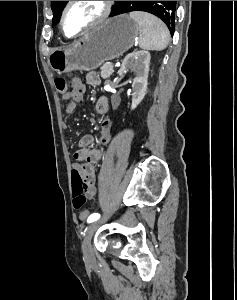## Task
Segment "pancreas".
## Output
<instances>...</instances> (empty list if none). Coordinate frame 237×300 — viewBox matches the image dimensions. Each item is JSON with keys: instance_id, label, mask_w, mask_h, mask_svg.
<instances>
[{"instance_id": "obj_1", "label": "pancreas", "mask_w": 237, "mask_h": 300, "mask_svg": "<svg viewBox=\"0 0 237 300\" xmlns=\"http://www.w3.org/2000/svg\"><path fill=\"white\" fill-rule=\"evenodd\" d=\"M109 65V63H104V65L100 67L101 77H103V79H107V77H110V75L113 73V68H109ZM111 65H113V63Z\"/></svg>"}]
</instances>
